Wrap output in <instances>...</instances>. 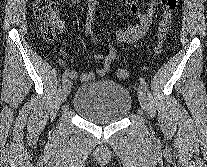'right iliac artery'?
Segmentation results:
<instances>
[{"mask_svg": "<svg viewBox=\"0 0 207 167\" xmlns=\"http://www.w3.org/2000/svg\"><path fill=\"white\" fill-rule=\"evenodd\" d=\"M68 75H69V70L66 69L65 72L63 73V77H62L63 83H65L67 81Z\"/></svg>", "mask_w": 207, "mask_h": 167, "instance_id": "1", "label": "right iliac artery"}]
</instances>
